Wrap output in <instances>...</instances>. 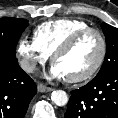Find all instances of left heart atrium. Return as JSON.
Returning a JSON list of instances; mask_svg holds the SVG:
<instances>
[{"label": "left heart atrium", "instance_id": "39dd6f15", "mask_svg": "<svg viewBox=\"0 0 118 118\" xmlns=\"http://www.w3.org/2000/svg\"><path fill=\"white\" fill-rule=\"evenodd\" d=\"M49 77L52 79H62L65 78L63 71L56 65H52L49 71Z\"/></svg>", "mask_w": 118, "mask_h": 118}]
</instances>
